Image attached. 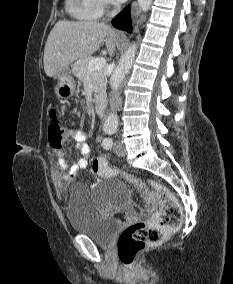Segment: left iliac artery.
Returning <instances> with one entry per match:
<instances>
[{"mask_svg":"<svg viewBox=\"0 0 233 284\" xmlns=\"http://www.w3.org/2000/svg\"><path fill=\"white\" fill-rule=\"evenodd\" d=\"M107 133L109 135H112L115 133L114 130H108ZM102 145L105 149H111L112 148V145H113V141L111 138H105L103 141H102Z\"/></svg>","mask_w":233,"mask_h":284,"instance_id":"44dca946","label":"left iliac artery"}]
</instances>
